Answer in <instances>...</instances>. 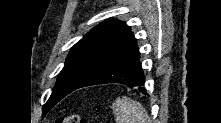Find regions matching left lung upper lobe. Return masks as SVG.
I'll return each mask as SVG.
<instances>
[{"label":"left lung upper lobe","instance_id":"1","mask_svg":"<svg viewBox=\"0 0 221 123\" xmlns=\"http://www.w3.org/2000/svg\"><path fill=\"white\" fill-rule=\"evenodd\" d=\"M136 44L133 33L124 22L108 19L94 27L71 48L43 113L46 114L99 69Z\"/></svg>","mask_w":221,"mask_h":123}]
</instances>
